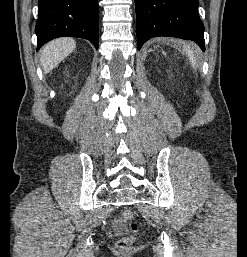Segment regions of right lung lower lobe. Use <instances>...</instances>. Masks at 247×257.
<instances>
[{
    "label": "right lung lower lobe",
    "mask_w": 247,
    "mask_h": 257,
    "mask_svg": "<svg viewBox=\"0 0 247 257\" xmlns=\"http://www.w3.org/2000/svg\"><path fill=\"white\" fill-rule=\"evenodd\" d=\"M38 7L37 50L63 36L85 38L98 49V0H38Z\"/></svg>",
    "instance_id": "right-lung-lower-lobe-1"
}]
</instances>
